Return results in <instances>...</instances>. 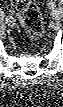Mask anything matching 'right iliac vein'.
<instances>
[{
	"instance_id": "1",
	"label": "right iliac vein",
	"mask_w": 63,
	"mask_h": 107,
	"mask_svg": "<svg viewBox=\"0 0 63 107\" xmlns=\"http://www.w3.org/2000/svg\"><path fill=\"white\" fill-rule=\"evenodd\" d=\"M6 23H8V24H13V22H14V20H13V18L11 17V16H8V17H6Z\"/></svg>"
}]
</instances>
